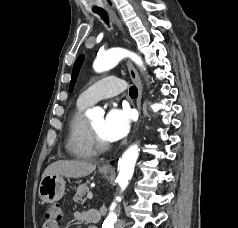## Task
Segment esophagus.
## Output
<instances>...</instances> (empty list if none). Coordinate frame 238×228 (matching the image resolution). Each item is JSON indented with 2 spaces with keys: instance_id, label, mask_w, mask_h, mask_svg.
<instances>
[{
  "instance_id": "1",
  "label": "esophagus",
  "mask_w": 238,
  "mask_h": 228,
  "mask_svg": "<svg viewBox=\"0 0 238 228\" xmlns=\"http://www.w3.org/2000/svg\"><path fill=\"white\" fill-rule=\"evenodd\" d=\"M109 13L112 17V20L114 21L115 25L117 26V28L119 29V31L125 35V31H124V27H123V23L122 21L117 17L116 13L114 10L109 9ZM127 66H128V70H129V74L131 79L133 80V82L135 83V85L137 86L138 89V98L136 101L137 104V109L139 111L140 117H139V122L141 119V98H142V84H141V80L140 77L135 69V67L133 66V64L128 61L127 62ZM112 165L111 164H105L103 165V169L105 170H112Z\"/></svg>"
}]
</instances>
